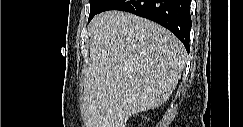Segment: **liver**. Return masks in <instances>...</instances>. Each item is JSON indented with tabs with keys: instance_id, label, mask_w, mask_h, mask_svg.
<instances>
[{
	"instance_id": "obj_1",
	"label": "liver",
	"mask_w": 243,
	"mask_h": 127,
	"mask_svg": "<svg viewBox=\"0 0 243 127\" xmlns=\"http://www.w3.org/2000/svg\"><path fill=\"white\" fill-rule=\"evenodd\" d=\"M88 34L86 127H125L133 114L169 99L186 63L183 44L169 30L127 12L107 11L92 19Z\"/></svg>"
}]
</instances>
